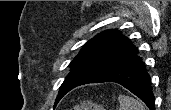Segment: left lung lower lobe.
<instances>
[{"instance_id":"0a47b994","label":"left lung lower lobe","mask_w":171,"mask_h":110,"mask_svg":"<svg viewBox=\"0 0 171 110\" xmlns=\"http://www.w3.org/2000/svg\"><path fill=\"white\" fill-rule=\"evenodd\" d=\"M115 82L138 96L150 110H154V95L145 64L137 52L121 64L105 71L88 83ZM87 84V83H85Z\"/></svg>"}]
</instances>
